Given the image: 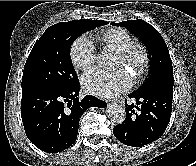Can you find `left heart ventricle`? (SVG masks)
<instances>
[{"label": "left heart ventricle", "instance_id": "b2bd125f", "mask_svg": "<svg viewBox=\"0 0 196 166\" xmlns=\"http://www.w3.org/2000/svg\"><path fill=\"white\" fill-rule=\"evenodd\" d=\"M121 65H122V62H121L120 58L118 57L117 62H116V66H121Z\"/></svg>", "mask_w": 196, "mask_h": 166}]
</instances>
